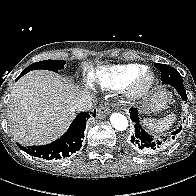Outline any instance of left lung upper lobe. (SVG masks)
Masks as SVG:
<instances>
[{
  "label": "left lung upper lobe",
  "mask_w": 196,
  "mask_h": 196,
  "mask_svg": "<svg viewBox=\"0 0 196 196\" xmlns=\"http://www.w3.org/2000/svg\"><path fill=\"white\" fill-rule=\"evenodd\" d=\"M162 65H165V64L156 63V64H155V67L159 69V66H162ZM168 66H169V65H168ZM178 75H180V74L178 73ZM180 79L182 80L181 75H180ZM161 80H162V79H161Z\"/></svg>",
  "instance_id": "5c2ea615"
}]
</instances>
